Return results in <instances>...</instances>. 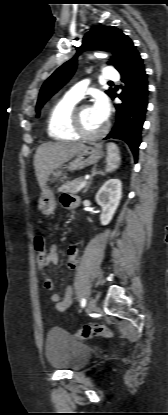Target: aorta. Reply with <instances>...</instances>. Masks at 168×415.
I'll return each instance as SVG.
<instances>
[{
    "mask_svg": "<svg viewBox=\"0 0 168 415\" xmlns=\"http://www.w3.org/2000/svg\"><path fill=\"white\" fill-rule=\"evenodd\" d=\"M95 56L96 57H104L105 55L104 54H101V53H96Z\"/></svg>",
    "mask_w": 168,
    "mask_h": 415,
    "instance_id": "obj_1",
    "label": "aorta"
}]
</instances>
